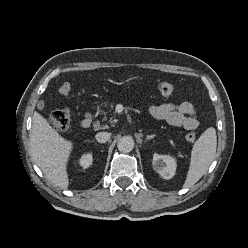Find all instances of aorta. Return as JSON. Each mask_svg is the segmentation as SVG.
Masks as SVG:
<instances>
[{"label": "aorta", "mask_w": 248, "mask_h": 248, "mask_svg": "<svg viewBox=\"0 0 248 248\" xmlns=\"http://www.w3.org/2000/svg\"><path fill=\"white\" fill-rule=\"evenodd\" d=\"M117 148L121 152H130L134 148V140L131 136H123L117 143Z\"/></svg>", "instance_id": "obj_1"}]
</instances>
